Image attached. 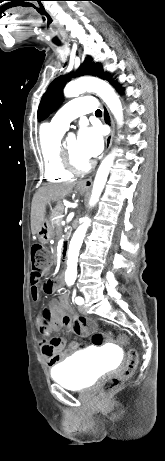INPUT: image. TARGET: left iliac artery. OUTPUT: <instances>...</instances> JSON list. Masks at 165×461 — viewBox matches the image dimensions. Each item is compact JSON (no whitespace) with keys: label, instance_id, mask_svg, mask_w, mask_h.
<instances>
[{"label":"left iliac artery","instance_id":"left-iliac-artery-1","mask_svg":"<svg viewBox=\"0 0 165 461\" xmlns=\"http://www.w3.org/2000/svg\"><path fill=\"white\" fill-rule=\"evenodd\" d=\"M75 302H76L78 305H82V304L84 303V300H83L82 297H76Z\"/></svg>","mask_w":165,"mask_h":461}]
</instances>
